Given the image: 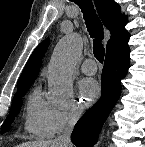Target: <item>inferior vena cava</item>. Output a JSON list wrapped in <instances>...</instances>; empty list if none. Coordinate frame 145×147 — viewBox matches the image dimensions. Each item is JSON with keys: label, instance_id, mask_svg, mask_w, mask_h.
<instances>
[{"label": "inferior vena cava", "instance_id": "602c4592", "mask_svg": "<svg viewBox=\"0 0 145 147\" xmlns=\"http://www.w3.org/2000/svg\"><path fill=\"white\" fill-rule=\"evenodd\" d=\"M80 117V112L78 110H75L68 121V126L66 127L65 131L61 136L58 137L57 143L62 147H71V133L74 128V125L78 121Z\"/></svg>", "mask_w": 145, "mask_h": 147}]
</instances>
